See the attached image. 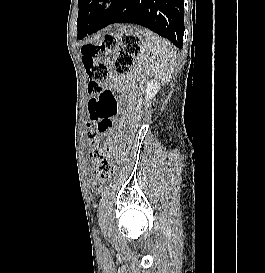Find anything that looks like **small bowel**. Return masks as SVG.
<instances>
[{
    "label": "small bowel",
    "mask_w": 265,
    "mask_h": 273,
    "mask_svg": "<svg viewBox=\"0 0 265 273\" xmlns=\"http://www.w3.org/2000/svg\"><path fill=\"white\" fill-rule=\"evenodd\" d=\"M106 88L108 90H112L113 88H118L117 76L115 74H112L110 79L107 81ZM94 149L96 148L94 147Z\"/></svg>",
    "instance_id": "c3829d8e"
}]
</instances>
